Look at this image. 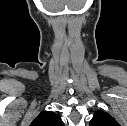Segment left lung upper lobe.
Masks as SVG:
<instances>
[{
  "label": "left lung upper lobe",
  "instance_id": "1",
  "mask_svg": "<svg viewBox=\"0 0 127 126\" xmlns=\"http://www.w3.org/2000/svg\"><path fill=\"white\" fill-rule=\"evenodd\" d=\"M90 126H120L116 120L108 113L96 111L90 120Z\"/></svg>",
  "mask_w": 127,
  "mask_h": 126
}]
</instances>
